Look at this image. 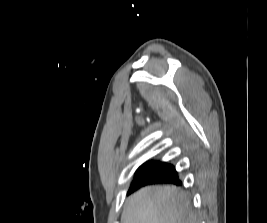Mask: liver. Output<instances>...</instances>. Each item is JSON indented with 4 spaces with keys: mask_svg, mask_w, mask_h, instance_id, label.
I'll use <instances>...</instances> for the list:
<instances>
[{
    "mask_svg": "<svg viewBox=\"0 0 267 223\" xmlns=\"http://www.w3.org/2000/svg\"><path fill=\"white\" fill-rule=\"evenodd\" d=\"M122 223H196L190 201L175 186L142 188L127 202Z\"/></svg>",
    "mask_w": 267,
    "mask_h": 223,
    "instance_id": "obj_1",
    "label": "liver"
}]
</instances>
